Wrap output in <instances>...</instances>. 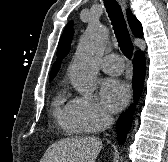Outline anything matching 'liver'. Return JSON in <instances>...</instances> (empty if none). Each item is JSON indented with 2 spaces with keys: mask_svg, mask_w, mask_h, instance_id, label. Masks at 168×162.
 Segmentation results:
<instances>
[{
  "mask_svg": "<svg viewBox=\"0 0 168 162\" xmlns=\"http://www.w3.org/2000/svg\"><path fill=\"white\" fill-rule=\"evenodd\" d=\"M102 149L96 137H70L53 143L40 162H95Z\"/></svg>",
  "mask_w": 168,
  "mask_h": 162,
  "instance_id": "liver-1",
  "label": "liver"
}]
</instances>
